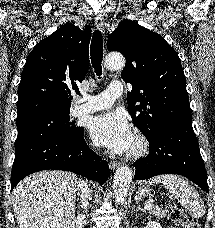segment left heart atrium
<instances>
[{
    "instance_id": "1",
    "label": "left heart atrium",
    "mask_w": 215,
    "mask_h": 228,
    "mask_svg": "<svg viewBox=\"0 0 215 228\" xmlns=\"http://www.w3.org/2000/svg\"><path fill=\"white\" fill-rule=\"evenodd\" d=\"M90 133L96 143L118 154L127 152L134 140L129 121L121 112L95 117L90 124Z\"/></svg>"
}]
</instances>
